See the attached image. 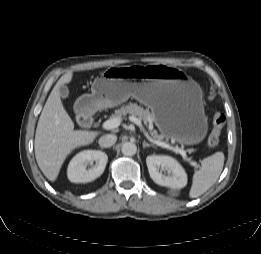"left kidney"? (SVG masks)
<instances>
[{
  "instance_id": "left-kidney-1",
  "label": "left kidney",
  "mask_w": 261,
  "mask_h": 254,
  "mask_svg": "<svg viewBox=\"0 0 261 254\" xmlns=\"http://www.w3.org/2000/svg\"><path fill=\"white\" fill-rule=\"evenodd\" d=\"M146 164L150 177L156 184L174 189H180L187 185V174L174 158L151 155L146 158Z\"/></svg>"
}]
</instances>
